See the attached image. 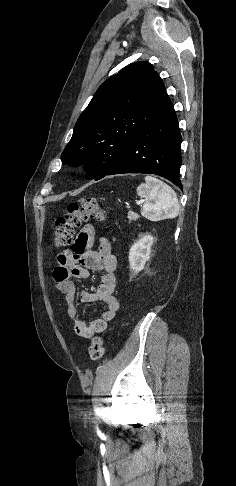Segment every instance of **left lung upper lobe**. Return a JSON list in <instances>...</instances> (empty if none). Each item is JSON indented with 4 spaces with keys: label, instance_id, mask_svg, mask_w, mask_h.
<instances>
[{
    "label": "left lung upper lobe",
    "instance_id": "5c2ea615",
    "mask_svg": "<svg viewBox=\"0 0 236 486\" xmlns=\"http://www.w3.org/2000/svg\"><path fill=\"white\" fill-rule=\"evenodd\" d=\"M171 103L163 81L145 61L107 79L78 118L61 154L63 164L85 165L87 179L103 178L136 135Z\"/></svg>",
    "mask_w": 236,
    "mask_h": 486
}]
</instances>
